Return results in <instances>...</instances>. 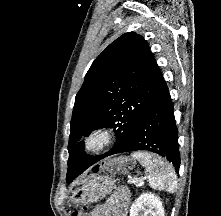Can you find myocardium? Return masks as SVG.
<instances>
[{"label": "myocardium", "instance_id": "1", "mask_svg": "<svg viewBox=\"0 0 221 216\" xmlns=\"http://www.w3.org/2000/svg\"><path fill=\"white\" fill-rule=\"evenodd\" d=\"M115 140V132L105 126L93 129L84 139L83 149L87 154H98L110 147Z\"/></svg>", "mask_w": 221, "mask_h": 216}]
</instances>
